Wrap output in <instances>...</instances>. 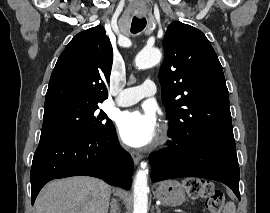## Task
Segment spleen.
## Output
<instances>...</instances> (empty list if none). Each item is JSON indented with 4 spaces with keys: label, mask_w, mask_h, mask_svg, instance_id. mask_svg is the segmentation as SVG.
Instances as JSON below:
<instances>
[{
    "label": "spleen",
    "mask_w": 270,
    "mask_h": 213,
    "mask_svg": "<svg viewBox=\"0 0 270 213\" xmlns=\"http://www.w3.org/2000/svg\"><path fill=\"white\" fill-rule=\"evenodd\" d=\"M224 213H236L235 204L233 202L227 203L224 208Z\"/></svg>",
    "instance_id": "obj_1"
}]
</instances>
